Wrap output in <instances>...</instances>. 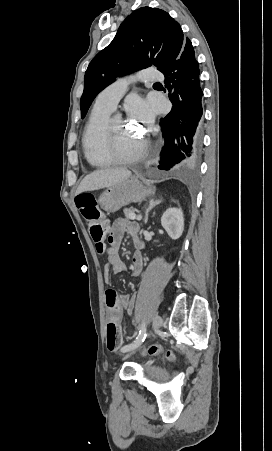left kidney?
<instances>
[{
    "instance_id": "5707ae66",
    "label": "left kidney",
    "mask_w": 272,
    "mask_h": 451,
    "mask_svg": "<svg viewBox=\"0 0 272 451\" xmlns=\"http://www.w3.org/2000/svg\"><path fill=\"white\" fill-rule=\"evenodd\" d=\"M161 226L166 229L172 239H178L183 233L184 218L181 208H169L161 218Z\"/></svg>"
}]
</instances>
